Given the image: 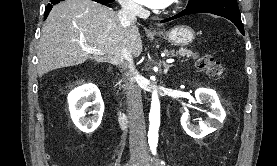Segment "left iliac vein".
<instances>
[{
  "label": "left iliac vein",
  "mask_w": 277,
  "mask_h": 166,
  "mask_svg": "<svg viewBox=\"0 0 277 166\" xmlns=\"http://www.w3.org/2000/svg\"><path fill=\"white\" fill-rule=\"evenodd\" d=\"M143 166H153L152 163L147 162L146 164H144Z\"/></svg>",
  "instance_id": "left-iliac-vein-1"
}]
</instances>
